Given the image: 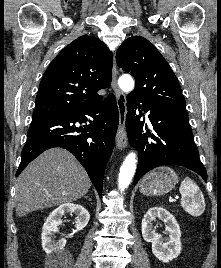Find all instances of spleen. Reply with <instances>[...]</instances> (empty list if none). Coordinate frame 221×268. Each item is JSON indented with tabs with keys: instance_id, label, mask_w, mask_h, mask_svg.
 Masks as SVG:
<instances>
[{
	"instance_id": "obj_1",
	"label": "spleen",
	"mask_w": 221,
	"mask_h": 268,
	"mask_svg": "<svg viewBox=\"0 0 221 268\" xmlns=\"http://www.w3.org/2000/svg\"><path fill=\"white\" fill-rule=\"evenodd\" d=\"M183 209L192 216H200L205 210V200L198 185L189 177L181 183L179 189Z\"/></svg>"
}]
</instances>
